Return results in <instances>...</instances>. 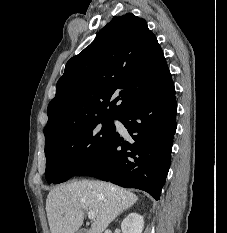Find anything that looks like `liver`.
Returning a JSON list of instances; mask_svg holds the SVG:
<instances>
[{
	"mask_svg": "<svg viewBox=\"0 0 227 233\" xmlns=\"http://www.w3.org/2000/svg\"><path fill=\"white\" fill-rule=\"evenodd\" d=\"M138 197L123 188L96 180L74 181L51 190L46 212L51 233H76L84 219V210L95 213L87 233H102Z\"/></svg>",
	"mask_w": 227,
	"mask_h": 233,
	"instance_id": "1",
	"label": "liver"
}]
</instances>
